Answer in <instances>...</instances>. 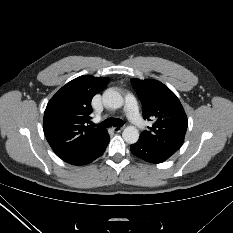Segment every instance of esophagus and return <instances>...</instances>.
<instances>
[{"label":"esophagus","mask_w":233,"mask_h":233,"mask_svg":"<svg viewBox=\"0 0 233 233\" xmlns=\"http://www.w3.org/2000/svg\"><path fill=\"white\" fill-rule=\"evenodd\" d=\"M124 129V127H113V131L116 133L121 132Z\"/></svg>","instance_id":"esophagus-1"}]
</instances>
